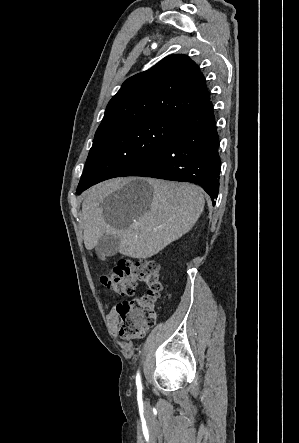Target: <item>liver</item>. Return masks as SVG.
<instances>
[{
  "label": "liver",
  "mask_w": 299,
  "mask_h": 443,
  "mask_svg": "<svg viewBox=\"0 0 299 443\" xmlns=\"http://www.w3.org/2000/svg\"><path fill=\"white\" fill-rule=\"evenodd\" d=\"M204 204L202 190L189 183L152 178L107 180L84 195L81 222L85 247L93 249L108 234L119 239L120 254L150 258L188 233Z\"/></svg>",
  "instance_id": "6515ba94"
}]
</instances>
